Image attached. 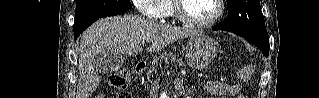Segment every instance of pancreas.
I'll list each match as a JSON object with an SVG mask.
<instances>
[{
    "mask_svg": "<svg viewBox=\"0 0 319 98\" xmlns=\"http://www.w3.org/2000/svg\"><path fill=\"white\" fill-rule=\"evenodd\" d=\"M160 60H164L165 62H177V63H181L180 59L177 58V56L175 54H172L170 52H163L162 54H160L159 56H155L152 62V68L149 69L148 72V77L153 73V71L155 70L156 64L160 61Z\"/></svg>",
    "mask_w": 319,
    "mask_h": 98,
    "instance_id": "1",
    "label": "pancreas"
}]
</instances>
